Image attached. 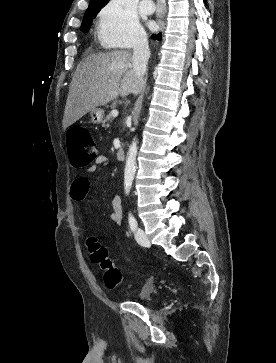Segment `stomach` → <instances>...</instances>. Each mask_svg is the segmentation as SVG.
Wrapping results in <instances>:
<instances>
[{"mask_svg":"<svg viewBox=\"0 0 276 363\" xmlns=\"http://www.w3.org/2000/svg\"><path fill=\"white\" fill-rule=\"evenodd\" d=\"M91 122L94 124H100L104 118V110L101 108H95L90 111Z\"/></svg>","mask_w":276,"mask_h":363,"instance_id":"0dacf381","label":"stomach"}]
</instances>
